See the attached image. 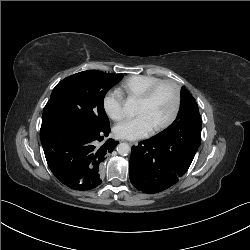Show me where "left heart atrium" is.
<instances>
[{"label":"left heart atrium","instance_id":"obj_1","mask_svg":"<svg viewBox=\"0 0 250 250\" xmlns=\"http://www.w3.org/2000/svg\"><path fill=\"white\" fill-rule=\"evenodd\" d=\"M153 127L144 115L126 119L114 126L113 132L121 139L136 140L150 135Z\"/></svg>","mask_w":250,"mask_h":250}]
</instances>
